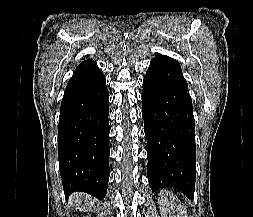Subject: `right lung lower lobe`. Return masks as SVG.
I'll return each mask as SVG.
<instances>
[{
	"label": "right lung lower lobe",
	"instance_id": "obj_1",
	"mask_svg": "<svg viewBox=\"0 0 253 217\" xmlns=\"http://www.w3.org/2000/svg\"><path fill=\"white\" fill-rule=\"evenodd\" d=\"M109 93L96 62L81 63L69 80L58 130L59 169L66 196L104 199L109 180Z\"/></svg>",
	"mask_w": 253,
	"mask_h": 217
}]
</instances>
